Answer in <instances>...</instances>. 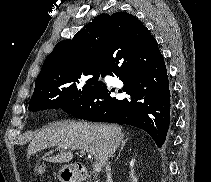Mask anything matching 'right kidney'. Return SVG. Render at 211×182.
Masks as SVG:
<instances>
[{"mask_svg":"<svg viewBox=\"0 0 211 182\" xmlns=\"http://www.w3.org/2000/svg\"><path fill=\"white\" fill-rule=\"evenodd\" d=\"M134 162H135V159H132L130 162V167H131L130 177L132 178L133 182H138L137 178L134 175V170L132 169L134 167Z\"/></svg>","mask_w":211,"mask_h":182,"instance_id":"right-kidney-1","label":"right kidney"}]
</instances>
